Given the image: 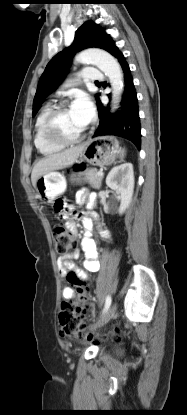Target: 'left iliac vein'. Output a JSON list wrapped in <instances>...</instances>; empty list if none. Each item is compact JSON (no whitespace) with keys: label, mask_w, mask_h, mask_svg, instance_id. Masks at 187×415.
I'll use <instances>...</instances> for the list:
<instances>
[{"label":"left iliac vein","mask_w":187,"mask_h":415,"mask_svg":"<svg viewBox=\"0 0 187 415\" xmlns=\"http://www.w3.org/2000/svg\"><path fill=\"white\" fill-rule=\"evenodd\" d=\"M116 312L117 304H114L97 323L91 326V330H96L97 328H100L101 326L108 323L116 315Z\"/></svg>","instance_id":"left-iliac-vein-1"}]
</instances>
